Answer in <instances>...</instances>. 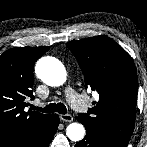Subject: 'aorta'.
I'll list each match as a JSON object with an SVG mask.
<instances>
[{
	"label": "aorta",
	"instance_id": "aorta-1",
	"mask_svg": "<svg viewBox=\"0 0 147 147\" xmlns=\"http://www.w3.org/2000/svg\"><path fill=\"white\" fill-rule=\"evenodd\" d=\"M35 72L38 78L49 86L57 87L66 82L64 65L53 57L41 58L36 64ZM66 135L72 141H80L84 138L85 128L80 123H71L66 129Z\"/></svg>",
	"mask_w": 147,
	"mask_h": 147
}]
</instances>
